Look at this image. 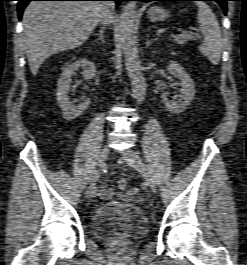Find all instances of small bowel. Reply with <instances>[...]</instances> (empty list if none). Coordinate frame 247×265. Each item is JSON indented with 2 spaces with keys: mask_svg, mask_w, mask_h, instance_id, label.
I'll return each mask as SVG.
<instances>
[{
  "mask_svg": "<svg viewBox=\"0 0 247 265\" xmlns=\"http://www.w3.org/2000/svg\"><path fill=\"white\" fill-rule=\"evenodd\" d=\"M115 195L113 191L108 189L106 186H103L100 191V196L103 199L112 198ZM119 197L128 202L141 203L144 201V197L140 194L139 190L135 187L130 188L124 194H120Z\"/></svg>",
  "mask_w": 247,
  "mask_h": 265,
  "instance_id": "small-bowel-1",
  "label": "small bowel"
}]
</instances>
